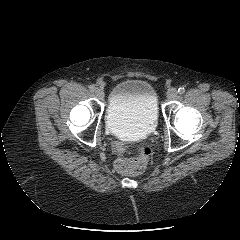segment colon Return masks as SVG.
I'll list each match as a JSON object with an SVG mask.
<instances>
[{
	"instance_id": "1",
	"label": "colon",
	"mask_w": 240,
	"mask_h": 240,
	"mask_svg": "<svg viewBox=\"0 0 240 240\" xmlns=\"http://www.w3.org/2000/svg\"><path fill=\"white\" fill-rule=\"evenodd\" d=\"M135 155L131 158H119L115 162V168L118 172L127 175H137L142 173L150 160L152 149L143 145L135 148Z\"/></svg>"
}]
</instances>
